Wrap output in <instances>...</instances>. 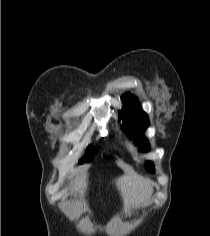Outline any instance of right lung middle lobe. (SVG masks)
I'll use <instances>...</instances> for the list:
<instances>
[{"mask_svg": "<svg viewBox=\"0 0 210 236\" xmlns=\"http://www.w3.org/2000/svg\"><path fill=\"white\" fill-rule=\"evenodd\" d=\"M88 153H89V156L92 157V155H93V153H94L93 147H89ZM82 163H84V159H81V160L79 161V164H82Z\"/></svg>", "mask_w": 210, "mask_h": 236, "instance_id": "right-lung-middle-lobe-1", "label": "right lung middle lobe"}]
</instances>
